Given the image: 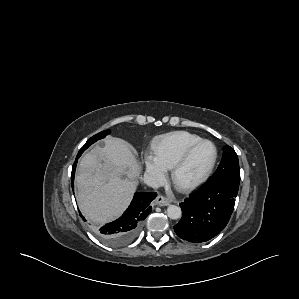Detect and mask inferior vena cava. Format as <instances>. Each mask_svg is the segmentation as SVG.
I'll use <instances>...</instances> for the list:
<instances>
[{"label":"inferior vena cava","instance_id":"602c4592","mask_svg":"<svg viewBox=\"0 0 299 299\" xmlns=\"http://www.w3.org/2000/svg\"><path fill=\"white\" fill-rule=\"evenodd\" d=\"M144 182L147 186L152 188H158L160 186L158 180L154 176L149 174H146L144 176Z\"/></svg>","mask_w":299,"mask_h":299}]
</instances>
